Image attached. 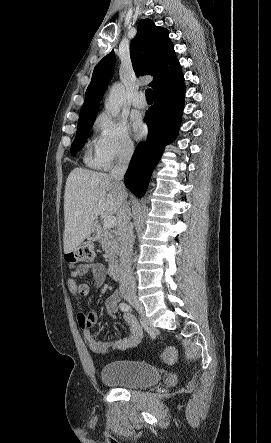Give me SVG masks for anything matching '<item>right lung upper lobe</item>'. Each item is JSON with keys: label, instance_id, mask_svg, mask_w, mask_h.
Returning a JSON list of instances; mask_svg holds the SVG:
<instances>
[{"label": "right lung upper lobe", "instance_id": "obj_1", "mask_svg": "<svg viewBox=\"0 0 271 443\" xmlns=\"http://www.w3.org/2000/svg\"><path fill=\"white\" fill-rule=\"evenodd\" d=\"M130 56L137 75L154 77L149 84L153 92L183 78L168 30L155 26L150 19L139 22L137 34L130 44ZM114 63L115 53L112 51L94 68L79 119L96 116L99 101L112 78Z\"/></svg>", "mask_w": 271, "mask_h": 443}]
</instances>
